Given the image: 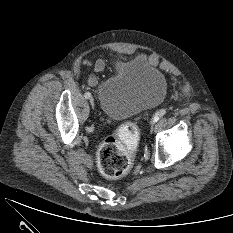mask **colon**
Instances as JSON below:
<instances>
[{
	"instance_id": "colon-1",
	"label": "colon",
	"mask_w": 233,
	"mask_h": 233,
	"mask_svg": "<svg viewBox=\"0 0 233 233\" xmlns=\"http://www.w3.org/2000/svg\"><path fill=\"white\" fill-rule=\"evenodd\" d=\"M137 143L138 129L133 122L122 124L114 135L107 137L97 152V165L101 175L109 180L125 176L131 168Z\"/></svg>"
}]
</instances>
